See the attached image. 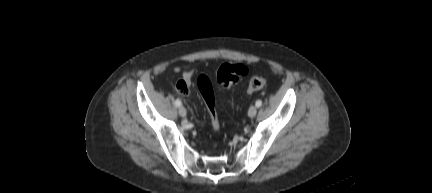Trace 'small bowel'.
<instances>
[{
    "label": "small bowel",
    "instance_id": "c3829d8e",
    "mask_svg": "<svg viewBox=\"0 0 432 193\" xmlns=\"http://www.w3.org/2000/svg\"><path fill=\"white\" fill-rule=\"evenodd\" d=\"M195 75V70L192 68L185 69L182 79L177 83V89L182 95H187L189 92V86Z\"/></svg>",
    "mask_w": 432,
    "mask_h": 193
}]
</instances>
